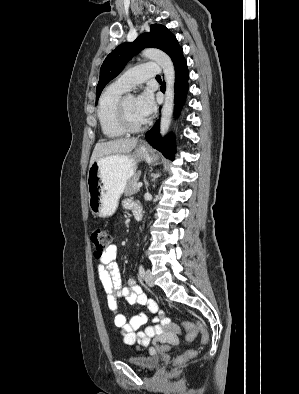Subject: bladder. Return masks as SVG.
Returning a JSON list of instances; mask_svg holds the SVG:
<instances>
[{
	"label": "bladder",
	"instance_id": "1",
	"mask_svg": "<svg viewBox=\"0 0 299 394\" xmlns=\"http://www.w3.org/2000/svg\"><path fill=\"white\" fill-rule=\"evenodd\" d=\"M126 361L136 367L144 370H152L156 368L160 361V356H147V355H136L127 357Z\"/></svg>",
	"mask_w": 299,
	"mask_h": 394
}]
</instances>
